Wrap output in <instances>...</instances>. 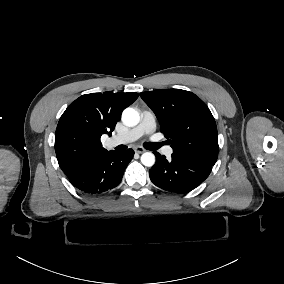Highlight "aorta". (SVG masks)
<instances>
[{
  "instance_id": "obj_1",
  "label": "aorta",
  "mask_w": 284,
  "mask_h": 284,
  "mask_svg": "<svg viewBox=\"0 0 284 284\" xmlns=\"http://www.w3.org/2000/svg\"><path fill=\"white\" fill-rule=\"evenodd\" d=\"M122 122L128 127L136 126L140 121V115L134 108H126L122 113ZM141 163L144 166L152 167L155 164V156L151 152H145L141 155Z\"/></svg>"
}]
</instances>
